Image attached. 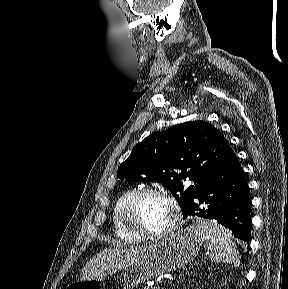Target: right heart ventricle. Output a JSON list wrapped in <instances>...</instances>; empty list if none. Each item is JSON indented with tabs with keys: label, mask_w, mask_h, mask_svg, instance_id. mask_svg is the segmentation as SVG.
<instances>
[{
	"label": "right heart ventricle",
	"mask_w": 288,
	"mask_h": 289,
	"mask_svg": "<svg viewBox=\"0 0 288 289\" xmlns=\"http://www.w3.org/2000/svg\"><path fill=\"white\" fill-rule=\"evenodd\" d=\"M135 192L134 188H129L123 191L118 198L116 199L115 203L113 204L112 211H111V221L113 232L116 238H118L121 242L126 244H134L137 243L139 240L132 235H130L122 226L121 219H120V210L126 200Z\"/></svg>",
	"instance_id": "right-heart-ventricle-1"
}]
</instances>
